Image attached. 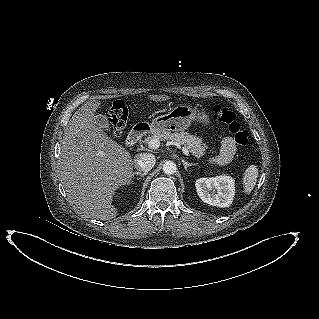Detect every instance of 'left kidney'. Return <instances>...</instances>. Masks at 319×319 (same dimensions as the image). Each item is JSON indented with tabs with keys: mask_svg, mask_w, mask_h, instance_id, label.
<instances>
[{
	"mask_svg": "<svg viewBox=\"0 0 319 319\" xmlns=\"http://www.w3.org/2000/svg\"><path fill=\"white\" fill-rule=\"evenodd\" d=\"M201 200L209 205L229 207L235 195V182L230 176L200 178L195 183Z\"/></svg>",
	"mask_w": 319,
	"mask_h": 319,
	"instance_id": "1",
	"label": "left kidney"
}]
</instances>
